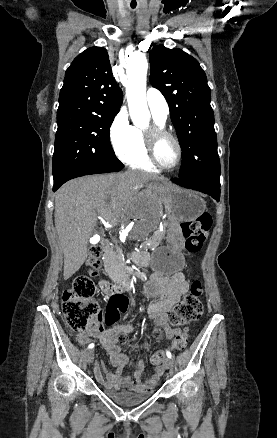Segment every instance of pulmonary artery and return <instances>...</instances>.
Here are the masks:
<instances>
[{
	"label": "pulmonary artery",
	"mask_w": 277,
	"mask_h": 438,
	"mask_svg": "<svg viewBox=\"0 0 277 438\" xmlns=\"http://www.w3.org/2000/svg\"><path fill=\"white\" fill-rule=\"evenodd\" d=\"M164 93L165 90L163 87H154L151 94L147 95L144 100L152 117L161 121H166L170 112L167 101L162 97Z\"/></svg>",
	"instance_id": "pulmonary-artery-1"
}]
</instances>
